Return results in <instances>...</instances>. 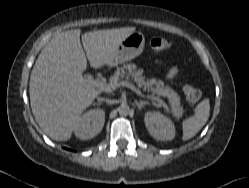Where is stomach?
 <instances>
[{"label": "stomach", "instance_id": "obj_1", "mask_svg": "<svg viewBox=\"0 0 249 188\" xmlns=\"http://www.w3.org/2000/svg\"><path fill=\"white\" fill-rule=\"evenodd\" d=\"M145 46V37L141 32H134L121 41L109 57L107 64L115 67L139 56Z\"/></svg>", "mask_w": 249, "mask_h": 188}]
</instances>
